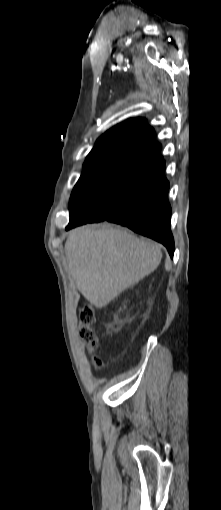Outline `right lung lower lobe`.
I'll use <instances>...</instances> for the list:
<instances>
[{
  "label": "right lung lower lobe",
  "mask_w": 221,
  "mask_h": 510,
  "mask_svg": "<svg viewBox=\"0 0 221 510\" xmlns=\"http://www.w3.org/2000/svg\"><path fill=\"white\" fill-rule=\"evenodd\" d=\"M164 166L158 151L139 171L116 210L106 215H94L90 214L86 204H79L70 213L66 230L87 222H113L164 244L172 258L174 239L170 229L171 207L167 199L169 182L163 174Z\"/></svg>",
  "instance_id": "obj_1"
}]
</instances>
